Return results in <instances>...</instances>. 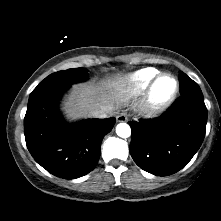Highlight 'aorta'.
I'll return each mask as SVG.
<instances>
[{
  "label": "aorta",
  "instance_id": "762f6f07",
  "mask_svg": "<svg viewBox=\"0 0 221 221\" xmlns=\"http://www.w3.org/2000/svg\"><path fill=\"white\" fill-rule=\"evenodd\" d=\"M116 133L121 138H128L131 135V128L126 123H119L116 126Z\"/></svg>",
  "mask_w": 221,
  "mask_h": 221
}]
</instances>
